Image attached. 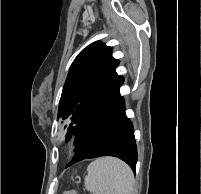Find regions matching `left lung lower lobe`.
<instances>
[{"label":"left lung lower lobe","instance_id":"0a47b994","mask_svg":"<svg viewBox=\"0 0 201 194\" xmlns=\"http://www.w3.org/2000/svg\"><path fill=\"white\" fill-rule=\"evenodd\" d=\"M75 135L76 154L66 168L86 159L115 156L125 161L135 172L137 147L134 129L126 117L125 101L119 90Z\"/></svg>","mask_w":201,"mask_h":194}]
</instances>
